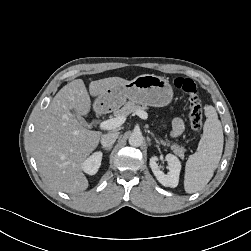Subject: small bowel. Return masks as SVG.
I'll return each instance as SVG.
<instances>
[{"mask_svg":"<svg viewBox=\"0 0 251 251\" xmlns=\"http://www.w3.org/2000/svg\"><path fill=\"white\" fill-rule=\"evenodd\" d=\"M184 129V123H183V120L180 119V118H176L174 121H173V124H172V135L173 136H178L181 134V132L183 131Z\"/></svg>","mask_w":251,"mask_h":251,"instance_id":"obj_1","label":"small bowel"}]
</instances>
